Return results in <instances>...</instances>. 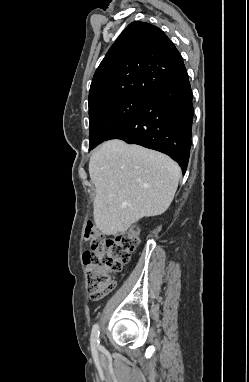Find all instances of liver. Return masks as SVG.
Segmentation results:
<instances>
[{"label":"liver","instance_id":"1","mask_svg":"<svg viewBox=\"0 0 249 382\" xmlns=\"http://www.w3.org/2000/svg\"><path fill=\"white\" fill-rule=\"evenodd\" d=\"M89 175L96 188V227L103 235H117L168 209L181 169L167 155L114 139L92 153Z\"/></svg>","mask_w":249,"mask_h":382}]
</instances>
